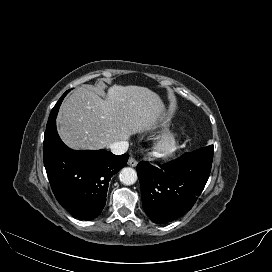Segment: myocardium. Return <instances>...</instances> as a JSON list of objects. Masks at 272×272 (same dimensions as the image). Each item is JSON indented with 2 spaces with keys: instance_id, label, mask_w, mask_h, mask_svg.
<instances>
[{
  "instance_id": "myocardium-1",
  "label": "myocardium",
  "mask_w": 272,
  "mask_h": 272,
  "mask_svg": "<svg viewBox=\"0 0 272 272\" xmlns=\"http://www.w3.org/2000/svg\"><path fill=\"white\" fill-rule=\"evenodd\" d=\"M180 148V138L174 132L161 134L154 144V153L163 160L171 159Z\"/></svg>"
}]
</instances>
